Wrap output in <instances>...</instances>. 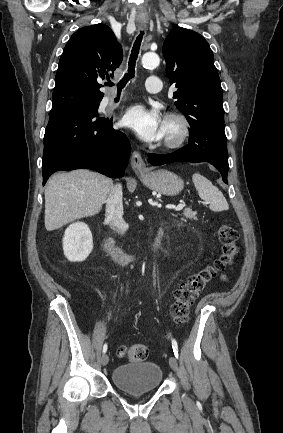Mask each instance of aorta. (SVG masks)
<instances>
[{
	"label": "aorta",
	"instance_id": "obj_1",
	"mask_svg": "<svg viewBox=\"0 0 283 433\" xmlns=\"http://www.w3.org/2000/svg\"><path fill=\"white\" fill-rule=\"evenodd\" d=\"M160 63L159 56L156 53L148 52L142 57V65L145 68L157 67Z\"/></svg>",
	"mask_w": 283,
	"mask_h": 433
}]
</instances>
